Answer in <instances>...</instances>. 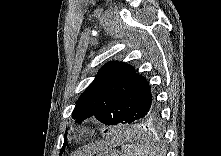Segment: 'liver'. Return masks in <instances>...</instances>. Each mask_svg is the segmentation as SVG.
<instances>
[{"instance_id": "1", "label": "liver", "mask_w": 221, "mask_h": 156, "mask_svg": "<svg viewBox=\"0 0 221 156\" xmlns=\"http://www.w3.org/2000/svg\"><path fill=\"white\" fill-rule=\"evenodd\" d=\"M103 148H104V145L92 146V147H90V148L86 151V153H87L88 155H92L93 153H95V152H97V151H100V150H102Z\"/></svg>"}]
</instances>
